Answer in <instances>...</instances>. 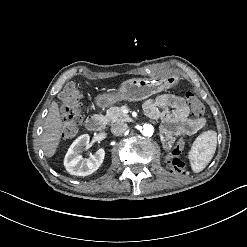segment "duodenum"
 <instances>
[{
  "mask_svg": "<svg viewBox=\"0 0 247 247\" xmlns=\"http://www.w3.org/2000/svg\"><path fill=\"white\" fill-rule=\"evenodd\" d=\"M86 127L91 131H102L105 128V119L101 115L91 116L86 120Z\"/></svg>",
  "mask_w": 247,
  "mask_h": 247,
  "instance_id": "1",
  "label": "duodenum"
}]
</instances>
